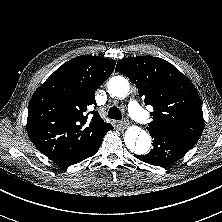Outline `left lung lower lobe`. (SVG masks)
Returning <instances> with one entry per match:
<instances>
[{
  "instance_id": "obj_1",
  "label": "left lung lower lobe",
  "mask_w": 222,
  "mask_h": 222,
  "mask_svg": "<svg viewBox=\"0 0 222 222\" xmlns=\"http://www.w3.org/2000/svg\"><path fill=\"white\" fill-rule=\"evenodd\" d=\"M149 133L153 140V149L147 155H135L143 162L167 167L186 154L199 137L175 130L152 129Z\"/></svg>"
}]
</instances>
